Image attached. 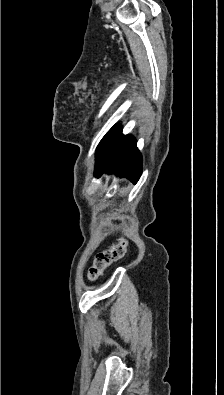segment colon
Segmentation results:
<instances>
[{
    "instance_id": "obj_1",
    "label": "colon",
    "mask_w": 224,
    "mask_h": 395,
    "mask_svg": "<svg viewBox=\"0 0 224 395\" xmlns=\"http://www.w3.org/2000/svg\"><path fill=\"white\" fill-rule=\"evenodd\" d=\"M127 245V240L121 239L108 249L97 253L88 272L89 280L92 282L98 280L114 262L123 258Z\"/></svg>"
}]
</instances>
